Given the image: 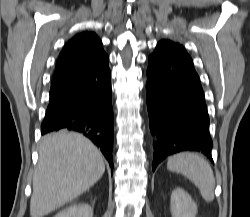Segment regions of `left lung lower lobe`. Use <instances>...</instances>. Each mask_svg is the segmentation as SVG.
<instances>
[{"instance_id":"1","label":"left lung lower lobe","mask_w":250,"mask_h":217,"mask_svg":"<svg viewBox=\"0 0 250 217\" xmlns=\"http://www.w3.org/2000/svg\"><path fill=\"white\" fill-rule=\"evenodd\" d=\"M148 60L147 109L150 130L157 135L153 171L182 151L202 152L213 162L209 116L191 57L180 44L162 40Z\"/></svg>"}]
</instances>
